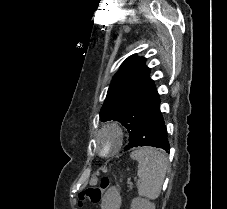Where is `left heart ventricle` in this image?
Masks as SVG:
<instances>
[{"instance_id": "left-heart-ventricle-1", "label": "left heart ventricle", "mask_w": 227, "mask_h": 209, "mask_svg": "<svg viewBox=\"0 0 227 209\" xmlns=\"http://www.w3.org/2000/svg\"><path fill=\"white\" fill-rule=\"evenodd\" d=\"M116 144V135L113 131L108 130L99 135L97 145L101 151H107Z\"/></svg>"}]
</instances>
